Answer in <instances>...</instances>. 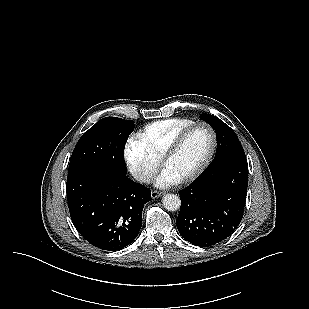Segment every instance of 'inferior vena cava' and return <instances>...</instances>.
Segmentation results:
<instances>
[{
    "label": "inferior vena cava",
    "mask_w": 309,
    "mask_h": 309,
    "mask_svg": "<svg viewBox=\"0 0 309 309\" xmlns=\"http://www.w3.org/2000/svg\"><path fill=\"white\" fill-rule=\"evenodd\" d=\"M134 178L143 183H149L152 180V176L143 172H135Z\"/></svg>",
    "instance_id": "obj_1"
}]
</instances>
